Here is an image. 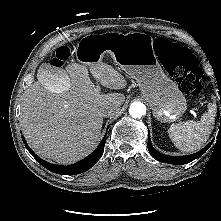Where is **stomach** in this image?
Wrapping results in <instances>:
<instances>
[{
  "label": "stomach",
  "mask_w": 221,
  "mask_h": 221,
  "mask_svg": "<svg viewBox=\"0 0 221 221\" xmlns=\"http://www.w3.org/2000/svg\"><path fill=\"white\" fill-rule=\"evenodd\" d=\"M152 44L153 38L142 32L89 36L79 46V62L91 67L110 55L116 65L137 81L153 116L160 122L172 123L186 111V99L163 72Z\"/></svg>",
  "instance_id": "1"
}]
</instances>
